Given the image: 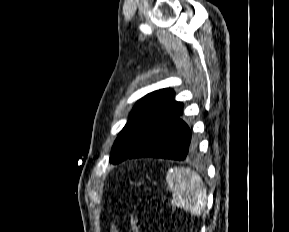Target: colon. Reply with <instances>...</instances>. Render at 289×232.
<instances>
[{
  "mask_svg": "<svg viewBox=\"0 0 289 232\" xmlns=\"http://www.w3.org/2000/svg\"><path fill=\"white\" fill-rule=\"evenodd\" d=\"M130 227L132 232H140V221L134 213L129 214ZM110 232H118L117 223L112 221L110 224Z\"/></svg>",
  "mask_w": 289,
  "mask_h": 232,
  "instance_id": "colon-1",
  "label": "colon"
}]
</instances>
